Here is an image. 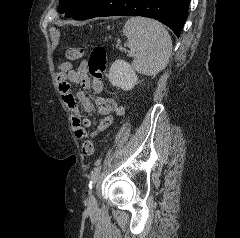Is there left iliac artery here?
Listing matches in <instances>:
<instances>
[{"mask_svg":"<svg viewBox=\"0 0 240 238\" xmlns=\"http://www.w3.org/2000/svg\"><path fill=\"white\" fill-rule=\"evenodd\" d=\"M100 170H101V166H97L93 169V171L91 172V178H90V182H89V188L91 189L93 187V185L95 184L98 176H99V173H100Z\"/></svg>","mask_w":240,"mask_h":238,"instance_id":"obj_1","label":"left iliac artery"}]
</instances>
